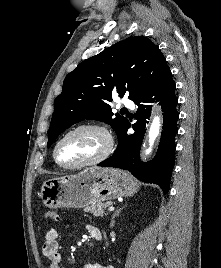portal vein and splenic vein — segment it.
Instances as JSON below:
<instances>
[{
  "label": "portal vein and splenic vein",
  "mask_w": 221,
  "mask_h": 268,
  "mask_svg": "<svg viewBox=\"0 0 221 268\" xmlns=\"http://www.w3.org/2000/svg\"><path fill=\"white\" fill-rule=\"evenodd\" d=\"M114 207L113 206H110L109 208H108V211H114Z\"/></svg>",
  "instance_id": "portal-vein-and-splenic-vein-1"
}]
</instances>
